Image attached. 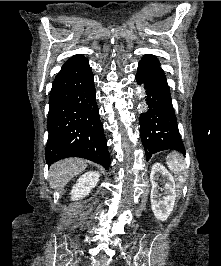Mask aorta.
<instances>
[{"mask_svg":"<svg viewBox=\"0 0 221 266\" xmlns=\"http://www.w3.org/2000/svg\"><path fill=\"white\" fill-rule=\"evenodd\" d=\"M136 93L139 96V98H143L144 97V93H143V89L142 88L137 87ZM139 106H143V104H140Z\"/></svg>","mask_w":221,"mask_h":266,"instance_id":"obj_1","label":"aorta"}]
</instances>
